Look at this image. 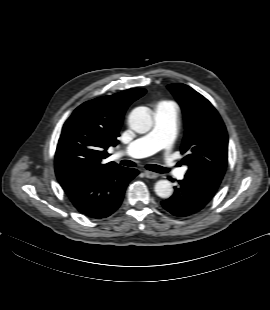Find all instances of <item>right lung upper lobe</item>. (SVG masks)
Listing matches in <instances>:
<instances>
[{
	"mask_svg": "<svg viewBox=\"0 0 270 310\" xmlns=\"http://www.w3.org/2000/svg\"><path fill=\"white\" fill-rule=\"evenodd\" d=\"M146 93L133 88L87 101L74 110L62 128L55 153L57 179L90 174L118 164L104 163L117 137L128 106Z\"/></svg>",
	"mask_w": 270,
	"mask_h": 310,
	"instance_id": "1",
	"label": "right lung upper lobe"
}]
</instances>
